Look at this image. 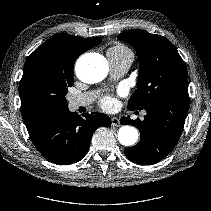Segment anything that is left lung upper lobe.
<instances>
[{
    "instance_id": "left-lung-upper-lobe-1",
    "label": "left lung upper lobe",
    "mask_w": 211,
    "mask_h": 211,
    "mask_svg": "<svg viewBox=\"0 0 211 211\" xmlns=\"http://www.w3.org/2000/svg\"><path fill=\"white\" fill-rule=\"evenodd\" d=\"M131 44L139 58L137 89L131 96V111L145 109L152 102L169 96H187V70L175 46L165 37L143 30L118 35Z\"/></svg>"
}]
</instances>
